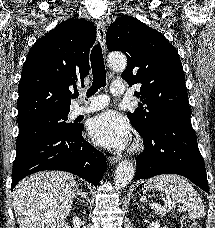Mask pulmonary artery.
Returning <instances> with one entry per match:
<instances>
[{
  "label": "pulmonary artery",
  "instance_id": "pulmonary-artery-1",
  "mask_svg": "<svg viewBox=\"0 0 215 228\" xmlns=\"http://www.w3.org/2000/svg\"><path fill=\"white\" fill-rule=\"evenodd\" d=\"M126 88L125 82H114L111 84V92L114 95H122L124 89ZM88 100L87 103H83ZM108 105V99L105 95H98L87 97L86 94L81 93L75 100L70 115L72 117H77L83 114L91 113L100 109L105 108Z\"/></svg>",
  "mask_w": 215,
  "mask_h": 228
}]
</instances>
